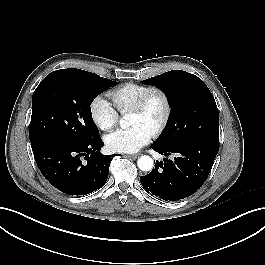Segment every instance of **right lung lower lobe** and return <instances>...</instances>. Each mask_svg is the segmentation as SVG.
<instances>
[{"instance_id":"right-lung-lower-lobe-1","label":"right lung lower lobe","mask_w":265,"mask_h":265,"mask_svg":"<svg viewBox=\"0 0 265 265\" xmlns=\"http://www.w3.org/2000/svg\"><path fill=\"white\" fill-rule=\"evenodd\" d=\"M100 137L86 142H57L32 147L36 163L45 178L69 195H86L107 181L115 155L100 153Z\"/></svg>"}]
</instances>
